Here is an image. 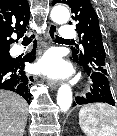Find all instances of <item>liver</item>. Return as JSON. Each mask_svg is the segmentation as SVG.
<instances>
[{
	"mask_svg": "<svg viewBox=\"0 0 117 136\" xmlns=\"http://www.w3.org/2000/svg\"><path fill=\"white\" fill-rule=\"evenodd\" d=\"M27 102L18 94L0 90V136H23Z\"/></svg>",
	"mask_w": 117,
	"mask_h": 136,
	"instance_id": "1",
	"label": "liver"
}]
</instances>
